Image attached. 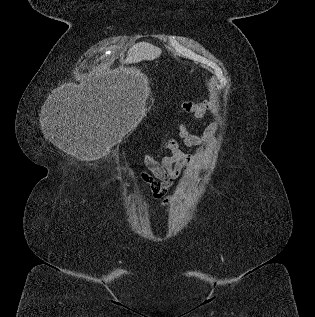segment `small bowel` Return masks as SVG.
<instances>
[{
	"label": "small bowel",
	"mask_w": 315,
	"mask_h": 317,
	"mask_svg": "<svg viewBox=\"0 0 315 317\" xmlns=\"http://www.w3.org/2000/svg\"><path fill=\"white\" fill-rule=\"evenodd\" d=\"M212 109H214V104L209 101L186 102L182 105V110L191 114L194 120L203 118L205 113ZM176 128L184 146H207L218 131L219 124L217 122L210 123L201 136L192 134L184 124H177ZM162 147L170 154L161 159L153 155H146L143 163L148 172L142 171L140 178L150 186L153 198L159 200L163 206H167L174 200L173 196L167 195L173 180L181 173L191 169L192 157L181 149L180 143L175 139L163 140Z\"/></svg>",
	"instance_id": "small-bowel-1"
}]
</instances>
